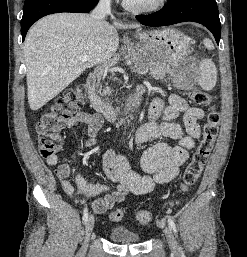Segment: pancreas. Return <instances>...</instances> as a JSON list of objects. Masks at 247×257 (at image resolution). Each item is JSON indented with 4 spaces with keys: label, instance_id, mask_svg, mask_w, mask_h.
<instances>
[{
    "label": "pancreas",
    "instance_id": "1",
    "mask_svg": "<svg viewBox=\"0 0 247 257\" xmlns=\"http://www.w3.org/2000/svg\"><path fill=\"white\" fill-rule=\"evenodd\" d=\"M133 60H134L136 71H141L149 67L150 75L156 80L163 79L166 76V74L170 72L169 66L166 65L165 63H151L150 65H146L136 58H134ZM110 93H111L110 87H108L106 84V87L102 90V96L106 97L107 95H110Z\"/></svg>",
    "mask_w": 247,
    "mask_h": 257
}]
</instances>
